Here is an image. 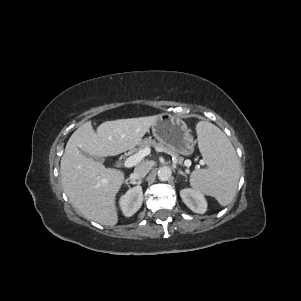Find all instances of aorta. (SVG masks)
I'll return each mask as SVG.
<instances>
[{
    "label": "aorta",
    "instance_id": "aorta-1",
    "mask_svg": "<svg viewBox=\"0 0 301 301\" xmlns=\"http://www.w3.org/2000/svg\"><path fill=\"white\" fill-rule=\"evenodd\" d=\"M171 175H172V171H171V168L168 166H162L158 170V178L161 181L168 180L171 177Z\"/></svg>",
    "mask_w": 301,
    "mask_h": 301
}]
</instances>
